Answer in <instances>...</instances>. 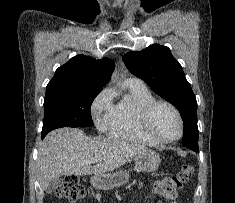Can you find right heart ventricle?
<instances>
[{
    "label": "right heart ventricle",
    "instance_id": "1",
    "mask_svg": "<svg viewBox=\"0 0 235 203\" xmlns=\"http://www.w3.org/2000/svg\"><path fill=\"white\" fill-rule=\"evenodd\" d=\"M124 95L113 104L106 126L111 137L153 145L140 127L139 114L143 105L154 100L153 94L144 84L125 81Z\"/></svg>",
    "mask_w": 235,
    "mask_h": 203
}]
</instances>
